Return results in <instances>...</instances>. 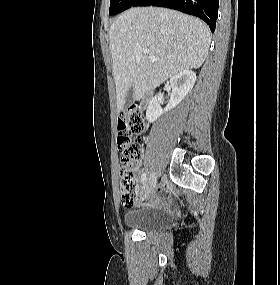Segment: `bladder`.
<instances>
[{
    "label": "bladder",
    "mask_w": 280,
    "mask_h": 285,
    "mask_svg": "<svg viewBox=\"0 0 280 285\" xmlns=\"http://www.w3.org/2000/svg\"><path fill=\"white\" fill-rule=\"evenodd\" d=\"M169 214L143 206L125 214L124 225L144 232L158 231L170 224Z\"/></svg>",
    "instance_id": "bladder-1"
}]
</instances>
